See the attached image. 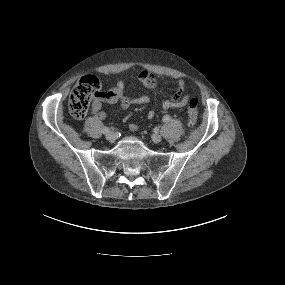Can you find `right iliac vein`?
Here are the masks:
<instances>
[{
  "mask_svg": "<svg viewBox=\"0 0 285 285\" xmlns=\"http://www.w3.org/2000/svg\"><path fill=\"white\" fill-rule=\"evenodd\" d=\"M106 139L109 142H114L116 139V134L114 132H109L106 134Z\"/></svg>",
  "mask_w": 285,
  "mask_h": 285,
  "instance_id": "63e3f726",
  "label": "right iliac vein"
}]
</instances>
